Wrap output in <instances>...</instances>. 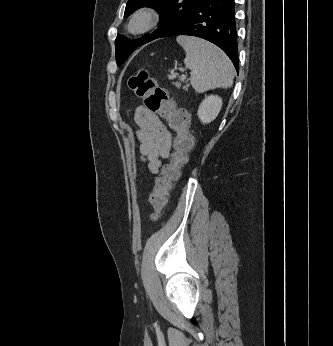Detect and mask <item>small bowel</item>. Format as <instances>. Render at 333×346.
Returning a JSON list of instances; mask_svg holds the SVG:
<instances>
[{
    "label": "small bowel",
    "mask_w": 333,
    "mask_h": 346,
    "mask_svg": "<svg viewBox=\"0 0 333 346\" xmlns=\"http://www.w3.org/2000/svg\"><path fill=\"white\" fill-rule=\"evenodd\" d=\"M136 138L140 142L139 152L147 161L151 173L157 174L161 169V158L170 155L173 145V137L169 127L154 113L149 112L143 106H139L134 114Z\"/></svg>",
    "instance_id": "obj_1"
}]
</instances>
